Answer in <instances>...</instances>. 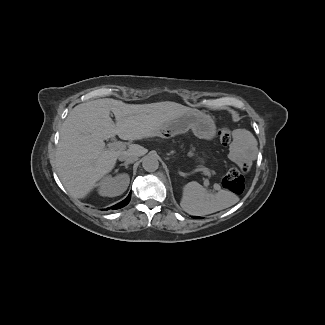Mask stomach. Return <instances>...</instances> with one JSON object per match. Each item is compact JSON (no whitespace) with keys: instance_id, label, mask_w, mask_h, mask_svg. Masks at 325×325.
I'll return each instance as SVG.
<instances>
[{"instance_id":"obj_1","label":"stomach","mask_w":325,"mask_h":325,"mask_svg":"<svg viewBox=\"0 0 325 325\" xmlns=\"http://www.w3.org/2000/svg\"><path fill=\"white\" fill-rule=\"evenodd\" d=\"M188 129H192L193 133L200 138H211L215 133V125L212 119L200 112L186 113L164 125H160L156 133L170 137L177 136ZM198 162L203 163L204 160L201 158Z\"/></svg>"}]
</instances>
